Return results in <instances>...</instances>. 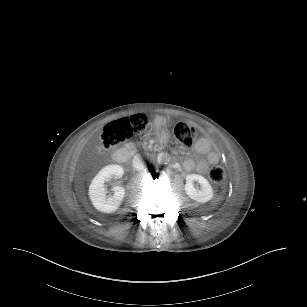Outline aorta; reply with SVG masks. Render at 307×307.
<instances>
[{
    "mask_svg": "<svg viewBox=\"0 0 307 307\" xmlns=\"http://www.w3.org/2000/svg\"><path fill=\"white\" fill-rule=\"evenodd\" d=\"M157 161L159 163H165L167 164L169 162V156L166 153H160L157 156Z\"/></svg>",
    "mask_w": 307,
    "mask_h": 307,
    "instance_id": "obj_1",
    "label": "aorta"
}]
</instances>
